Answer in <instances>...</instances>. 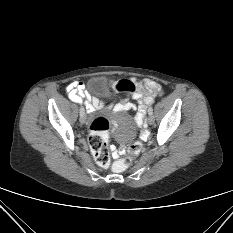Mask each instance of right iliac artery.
<instances>
[{
  "label": "right iliac artery",
  "mask_w": 233,
  "mask_h": 233,
  "mask_svg": "<svg viewBox=\"0 0 233 233\" xmlns=\"http://www.w3.org/2000/svg\"><path fill=\"white\" fill-rule=\"evenodd\" d=\"M79 100L80 99L77 97L76 101L78 102ZM82 114H84V108L83 107L80 108V115H82Z\"/></svg>",
  "instance_id": "1"
}]
</instances>
